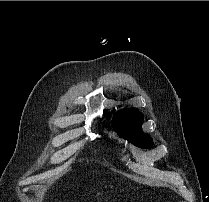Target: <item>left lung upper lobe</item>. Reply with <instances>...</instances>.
I'll list each match as a JSON object with an SVG mask.
<instances>
[{"label": "left lung upper lobe", "instance_id": "left-lung-upper-lobe-1", "mask_svg": "<svg viewBox=\"0 0 209 202\" xmlns=\"http://www.w3.org/2000/svg\"><path fill=\"white\" fill-rule=\"evenodd\" d=\"M143 114L135 108L123 109L116 113L112 120V127L119 135L140 148H150L152 138L142 132Z\"/></svg>", "mask_w": 209, "mask_h": 202}]
</instances>
